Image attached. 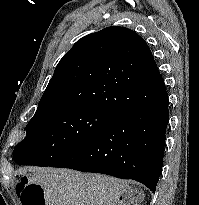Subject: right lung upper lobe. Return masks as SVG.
<instances>
[{
  "label": "right lung upper lobe",
  "instance_id": "1",
  "mask_svg": "<svg viewBox=\"0 0 199 205\" xmlns=\"http://www.w3.org/2000/svg\"><path fill=\"white\" fill-rule=\"evenodd\" d=\"M158 76L150 48L136 32L107 27L81 38L63 56L37 111L87 105L117 115L145 96L136 85Z\"/></svg>",
  "mask_w": 199,
  "mask_h": 205
}]
</instances>
